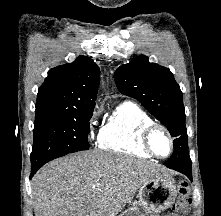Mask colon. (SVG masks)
Listing matches in <instances>:
<instances>
[{"label": "colon", "instance_id": "obj_1", "mask_svg": "<svg viewBox=\"0 0 221 216\" xmlns=\"http://www.w3.org/2000/svg\"><path fill=\"white\" fill-rule=\"evenodd\" d=\"M189 204H190V198L188 196L187 188L183 187L179 190L178 200L174 204L170 216H181L180 214L186 210Z\"/></svg>", "mask_w": 221, "mask_h": 216}]
</instances>
